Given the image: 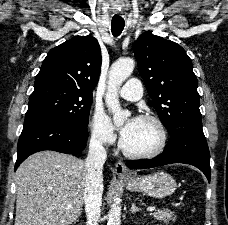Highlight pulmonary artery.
Listing matches in <instances>:
<instances>
[{"instance_id": "1", "label": "pulmonary artery", "mask_w": 228, "mask_h": 225, "mask_svg": "<svg viewBox=\"0 0 228 225\" xmlns=\"http://www.w3.org/2000/svg\"><path fill=\"white\" fill-rule=\"evenodd\" d=\"M141 81H136V79H132V81H128L127 85H123L122 89L119 91V94L122 98L135 101L141 97Z\"/></svg>"}]
</instances>
